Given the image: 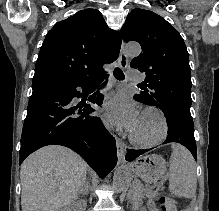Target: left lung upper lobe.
I'll return each instance as SVG.
<instances>
[{
    "label": "left lung upper lobe",
    "mask_w": 219,
    "mask_h": 211,
    "mask_svg": "<svg viewBox=\"0 0 219 211\" xmlns=\"http://www.w3.org/2000/svg\"><path fill=\"white\" fill-rule=\"evenodd\" d=\"M121 34L125 42L137 41L142 47L130 66L146 72L145 91L134 96L159 108L166 118L192 120L189 56L179 32L154 12L136 8L128 14Z\"/></svg>",
    "instance_id": "obj_1"
}]
</instances>
